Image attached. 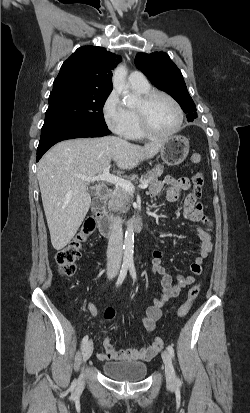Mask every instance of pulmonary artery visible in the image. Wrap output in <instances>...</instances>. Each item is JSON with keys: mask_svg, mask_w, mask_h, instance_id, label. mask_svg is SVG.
Wrapping results in <instances>:
<instances>
[{"mask_svg": "<svg viewBox=\"0 0 250 413\" xmlns=\"http://www.w3.org/2000/svg\"><path fill=\"white\" fill-rule=\"evenodd\" d=\"M128 82L132 87L143 88L148 85L145 76L138 71L132 72L128 77Z\"/></svg>", "mask_w": 250, "mask_h": 413, "instance_id": "e3ab8cb5", "label": "pulmonary artery"}]
</instances>
